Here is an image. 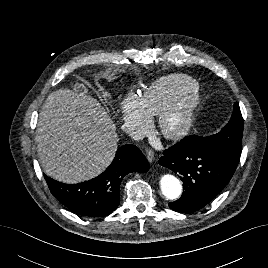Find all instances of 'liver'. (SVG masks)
Listing matches in <instances>:
<instances>
[{
  "label": "liver",
  "mask_w": 268,
  "mask_h": 268,
  "mask_svg": "<svg viewBox=\"0 0 268 268\" xmlns=\"http://www.w3.org/2000/svg\"><path fill=\"white\" fill-rule=\"evenodd\" d=\"M58 89L48 95L37 124V151L47 176L78 183L102 173L118 143L116 126L97 99Z\"/></svg>",
  "instance_id": "obj_1"
}]
</instances>
